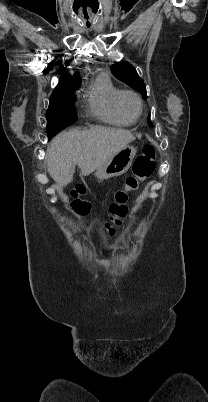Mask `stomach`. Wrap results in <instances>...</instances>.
Masks as SVG:
<instances>
[{"instance_id": "1", "label": "stomach", "mask_w": 208, "mask_h": 402, "mask_svg": "<svg viewBox=\"0 0 208 402\" xmlns=\"http://www.w3.org/2000/svg\"><path fill=\"white\" fill-rule=\"evenodd\" d=\"M135 156V148L133 146H125L120 152L111 156L106 164H103L101 168L96 170L94 174L95 178H98V180H108V178H114V176H122V174H125L129 170Z\"/></svg>"}]
</instances>
